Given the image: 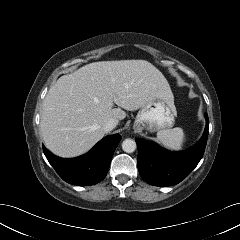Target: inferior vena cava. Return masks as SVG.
Instances as JSON below:
<instances>
[{"label":"inferior vena cava","mask_w":240,"mask_h":240,"mask_svg":"<svg viewBox=\"0 0 240 240\" xmlns=\"http://www.w3.org/2000/svg\"><path fill=\"white\" fill-rule=\"evenodd\" d=\"M117 124V120L110 118L103 124L102 129L105 133H107L113 130L117 126Z\"/></svg>","instance_id":"1"}]
</instances>
